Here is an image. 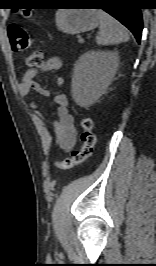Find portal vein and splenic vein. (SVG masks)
<instances>
[{"instance_id": "18ae733b", "label": "portal vein and splenic vein", "mask_w": 156, "mask_h": 266, "mask_svg": "<svg viewBox=\"0 0 156 266\" xmlns=\"http://www.w3.org/2000/svg\"><path fill=\"white\" fill-rule=\"evenodd\" d=\"M83 41H84L83 39H79V42L83 43Z\"/></svg>"}]
</instances>
